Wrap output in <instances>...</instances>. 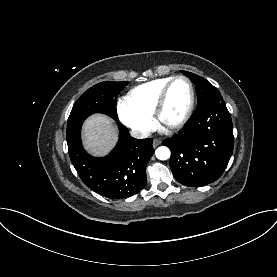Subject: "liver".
I'll list each match as a JSON object with an SVG mask.
<instances>
[{
	"mask_svg": "<svg viewBox=\"0 0 277 277\" xmlns=\"http://www.w3.org/2000/svg\"><path fill=\"white\" fill-rule=\"evenodd\" d=\"M118 132L110 118L95 114L83 125L84 146L95 156L106 155L116 144Z\"/></svg>",
	"mask_w": 277,
	"mask_h": 277,
	"instance_id": "liver-1",
	"label": "liver"
}]
</instances>
